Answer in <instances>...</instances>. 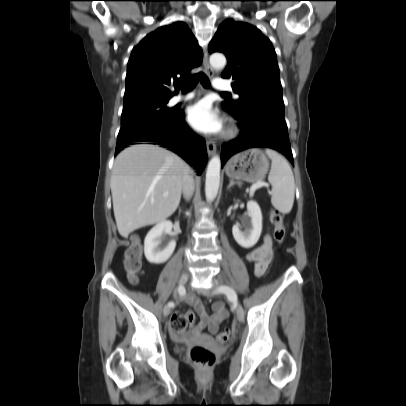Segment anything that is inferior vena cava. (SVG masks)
I'll use <instances>...</instances> for the list:
<instances>
[{"label":"inferior vena cava","mask_w":406,"mask_h":406,"mask_svg":"<svg viewBox=\"0 0 406 406\" xmlns=\"http://www.w3.org/2000/svg\"><path fill=\"white\" fill-rule=\"evenodd\" d=\"M194 191V180L191 176L190 170L188 168L184 169L183 176H182V192L184 198L189 200Z\"/></svg>","instance_id":"obj_1"}]
</instances>
